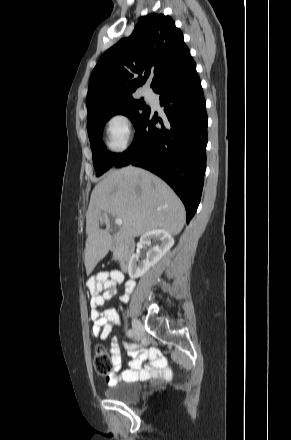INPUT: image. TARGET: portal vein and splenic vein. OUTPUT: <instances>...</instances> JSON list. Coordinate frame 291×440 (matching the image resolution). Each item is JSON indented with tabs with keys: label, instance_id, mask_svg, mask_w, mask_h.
Returning a JSON list of instances; mask_svg holds the SVG:
<instances>
[{
	"label": "portal vein and splenic vein",
	"instance_id": "portal-vein-and-splenic-vein-1",
	"mask_svg": "<svg viewBox=\"0 0 291 440\" xmlns=\"http://www.w3.org/2000/svg\"><path fill=\"white\" fill-rule=\"evenodd\" d=\"M115 223L119 226H121L123 224V221L121 219H115Z\"/></svg>",
	"mask_w": 291,
	"mask_h": 440
}]
</instances>
